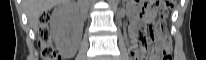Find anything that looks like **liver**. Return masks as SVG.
I'll return each mask as SVG.
<instances>
[{
	"label": "liver",
	"mask_w": 206,
	"mask_h": 60,
	"mask_svg": "<svg viewBox=\"0 0 206 60\" xmlns=\"http://www.w3.org/2000/svg\"><path fill=\"white\" fill-rule=\"evenodd\" d=\"M61 3L63 0H24L23 4L30 26L36 30L41 14Z\"/></svg>",
	"instance_id": "1"
}]
</instances>
